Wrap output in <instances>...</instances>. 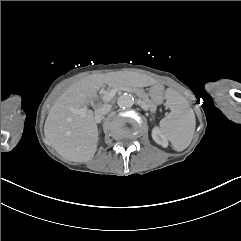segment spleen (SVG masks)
Here are the masks:
<instances>
[{"label": "spleen", "mask_w": 241, "mask_h": 241, "mask_svg": "<svg viewBox=\"0 0 241 241\" xmlns=\"http://www.w3.org/2000/svg\"><path fill=\"white\" fill-rule=\"evenodd\" d=\"M170 114L161 119L159 127L176 152L185 150L195 131V115L191 105L174 89L166 91Z\"/></svg>", "instance_id": "obj_1"}]
</instances>
